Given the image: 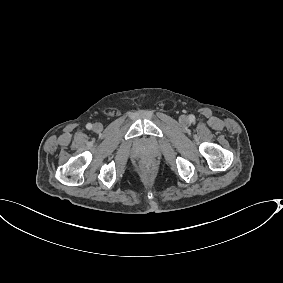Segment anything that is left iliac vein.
I'll return each instance as SVG.
<instances>
[{"mask_svg": "<svg viewBox=\"0 0 283 283\" xmlns=\"http://www.w3.org/2000/svg\"><path fill=\"white\" fill-rule=\"evenodd\" d=\"M179 120H180L181 123H187L188 117L186 115H181Z\"/></svg>", "mask_w": 283, "mask_h": 283, "instance_id": "4c4485c4", "label": "left iliac vein"}]
</instances>
